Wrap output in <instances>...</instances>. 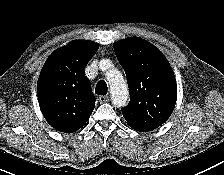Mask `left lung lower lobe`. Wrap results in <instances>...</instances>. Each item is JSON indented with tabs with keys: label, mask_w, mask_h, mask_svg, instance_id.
I'll use <instances>...</instances> for the list:
<instances>
[{
	"label": "left lung lower lobe",
	"mask_w": 224,
	"mask_h": 175,
	"mask_svg": "<svg viewBox=\"0 0 224 175\" xmlns=\"http://www.w3.org/2000/svg\"><path fill=\"white\" fill-rule=\"evenodd\" d=\"M137 131H141V132H144V131H150V130H137Z\"/></svg>",
	"instance_id": "1"
}]
</instances>
